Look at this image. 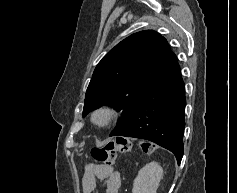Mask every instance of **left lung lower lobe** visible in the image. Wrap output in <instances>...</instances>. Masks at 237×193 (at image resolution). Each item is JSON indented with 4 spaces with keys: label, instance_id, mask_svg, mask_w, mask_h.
<instances>
[{
    "label": "left lung lower lobe",
    "instance_id": "0a47b994",
    "mask_svg": "<svg viewBox=\"0 0 237 193\" xmlns=\"http://www.w3.org/2000/svg\"><path fill=\"white\" fill-rule=\"evenodd\" d=\"M185 87L176 57L141 98L131 121L117 135L152 141L180 164L184 146Z\"/></svg>",
    "mask_w": 237,
    "mask_h": 193
}]
</instances>
